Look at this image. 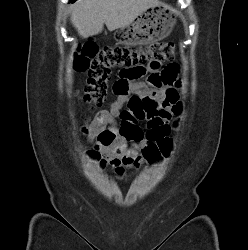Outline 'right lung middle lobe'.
Wrapping results in <instances>:
<instances>
[{"label": "right lung middle lobe", "mask_w": 248, "mask_h": 250, "mask_svg": "<svg viewBox=\"0 0 248 250\" xmlns=\"http://www.w3.org/2000/svg\"><path fill=\"white\" fill-rule=\"evenodd\" d=\"M75 0H70V2H74Z\"/></svg>", "instance_id": "dd1d6c3e"}]
</instances>
